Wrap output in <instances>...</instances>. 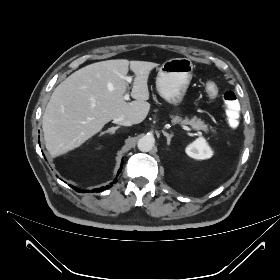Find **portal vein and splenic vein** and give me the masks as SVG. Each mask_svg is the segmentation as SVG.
I'll return each instance as SVG.
<instances>
[{
	"mask_svg": "<svg viewBox=\"0 0 280 280\" xmlns=\"http://www.w3.org/2000/svg\"><path fill=\"white\" fill-rule=\"evenodd\" d=\"M128 82H130V78H126ZM124 100H129V93H126L123 97ZM182 128L186 131H191L192 129L186 125H182Z\"/></svg>",
	"mask_w": 280,
	"mask_h": 280,
	"instance_id": "portal-vein-and-splenic-vein-1",
	"label": "portal vein and splenic vein"
}]
</instances>
